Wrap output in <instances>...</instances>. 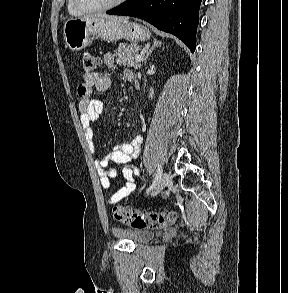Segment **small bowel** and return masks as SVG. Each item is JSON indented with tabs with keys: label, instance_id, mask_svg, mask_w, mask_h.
Returning <instances> with one entry per match:
<instances>
[{
	"label": "small bowel",
	"instance_id": "c3829d8e",
	"mask_svg": "<svg viewBox=\"0 0 288 293\" xmlns=\"http://www.w3.org/2000/svg\"><path fill=\"white\" fill-rule=\"evenodd\" d=\"M104 65L107 69H112L115 65L113 54L107 53L103 58ZM127 81L133 82L136 77L133 72L127 70L124 72ZM111 85V78L102 72H94L84 75V82L78 86V95L80 101L78 104L79 117L85 139L91 150L95 149L94 125L99 120L104 110L103 98H92L93 89L103 92ZM142 137L140 135L134 137L130 142L113 146L108 154L101 156L96 162V168L100 177V182L105 190L111 188V181L116 178L117 172L109 167L110 162L124 165L122 175L126 182L115 192L108 196L110 204H116L123 198L129 196L136 190L135 178L141 176L140 170L134 166L135 160L140 153Z\"/></svg>",
	"mask_w": 288,
	"mask_h": 293
}]
</instances>
